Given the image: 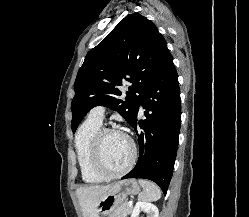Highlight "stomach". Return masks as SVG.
Here are the masks:
<instances>
[{
  "label": "stomach",
  "instance_id": "obj_1",
  "mask_svg": "<svg viewBox=\"0 0 249 217\" xmlns=\"http://www.w3.org/2000/svg\"><path fill=\"white\" fill-rule=\"evenodd\" d=\"M140 192V186L135 179L119 180L111 185L98 199L97 209L102 215L111 214L124 203L128 196Z\"/></svg>",
  "mask_w": 249,
  "mask_h": 217
}]
</instances>
